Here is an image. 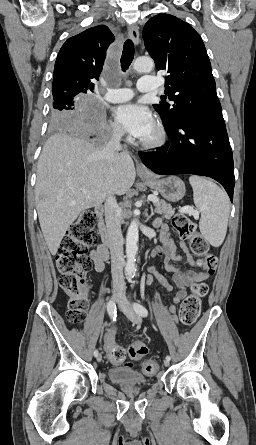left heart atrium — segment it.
Listing matches in <instances>:
<instances>
[{
	"mask_svg": "<svg viewBox=\"0 0 256 445\" xmlns=\"http://www.w3.org/2000/svg\"><path fill=\"white\" fill-rule=\"evenodd\" d=\"M114 116L126 132L138 139H146L154 130L151 113L138 104L118 106L114 111Z\"/></svg>",
	"mask_w": 256,
	"mask_h": 445,
	"instance_id": "left-heart-atrium-1",
	"label": "left heart atrium"
}]
</instances>
